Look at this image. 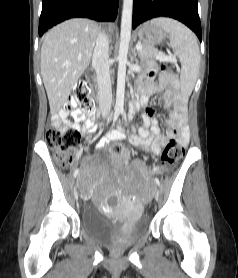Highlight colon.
Listing matches in <instances>:
<instances>
[{
    "mask_svg": "<svg viewBox=\"0 0 238 278\" xmlns=\"http://www.w3.org/2000/svg\"><path fill=\"white\" fill-rule=\"evenodd\" d=\"M161 79L169 80L174 77L168 65H161ZM89 87L85 81L76 84L73 93L68 97L65 103V109L68 111H76L82 114L93 112L94 105L90 98ZM46 140L50 146L55 161L61 167H67L75 154L79 145L80 135L74 128L58 129L50 128L46 132ZM110 155L120 160L125 157L128 152L126 148L120 144H114L109 149ZM185 154L184 147L176 140H170L161 154L159 168L166 170L180 162Z\"/></svg>",
    "mask_w": 238,
    "mask_h": 278,
    "instance_id": "colon-1",
    "label": "colon"
}]
</instances>
